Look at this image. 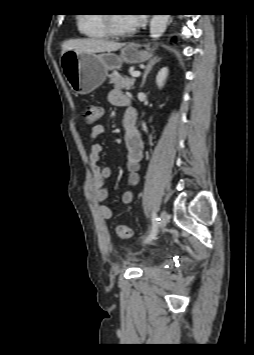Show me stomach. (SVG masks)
<instances>
[{
	"label": "stomach",
	"mask_w": 254,
	"mask_h": 355,
	"mask_svg": "<svg viewBox=\"0 0 254 355\" xmlns=\"http://www.w3.org/2000/svg\"><path fill=\"white\" fill-rule=\"evenodd\" d=\"M153 51L141 50L135 43L126 45L120 55L114 53H80L68 50L61 55L64 75L71 89L78 94H89L99 87L112 69L125 63H143Z\"/></svg>",
	"instance_id": "1"
}]
</instances>
